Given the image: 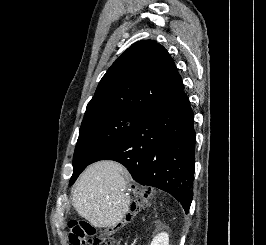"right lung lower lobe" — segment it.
Returning a JSON list of instances; mask_svg holds the SVG:
<instances>
[{"label":"right lung lower lobe","instance_id":"1","mask_svg":"<svg viewBox=\"0 0 266 245\" xmlns=\"http://www.w3.org/2000/svg\"><path fill=\"white\" fill-rule=\"evenodd\" d=\"M123 164L133 179L171 194L188 213L195 168L194 114L182 94L146 113L93 161Z\"/></svg>","mask_w":266,"mask_h":245}]
</instances>
